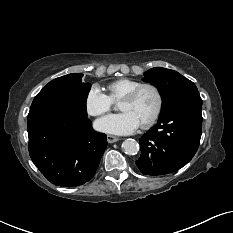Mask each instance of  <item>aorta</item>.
Instances as JSON below:
<instances>
[{
    "label": "aorta",
    "mask_w": 233,
    "mask_h": 233,
    "mask_svg": "<svg viewBox=\"0 0 233 233\" xmlns=\"http://www.w3.org/2000/svg\"><path fill=\"white\" fill-rule=\"evenodd\" d=\"M122 149L128 155H135L139 151V144L136 140L129 138L122 143Z\"/></svg>",
    "instance_id": "obj_1"
}]
</instances>
